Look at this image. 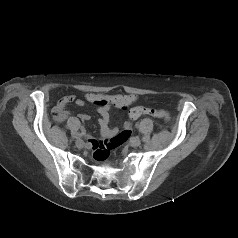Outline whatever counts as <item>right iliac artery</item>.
I'll list each match as a JSON object with an SVG mask.
<instances>
[{
    "instance_id": "1",
    "label": "right iliac artery",
    "mask_w": 238,
    "mask_h": 238,
    "mask_svg": "<svg viewBox=\"0 0 238 238\" xmlns=\"http://www.w3.org/2000/svg\"><path fill=\"white\" fill-rule=\"evenodd\" d=\"M82 136H83L82 133H78L77 136H76V138H81Z\"/></svg>"
}]
</instances>
